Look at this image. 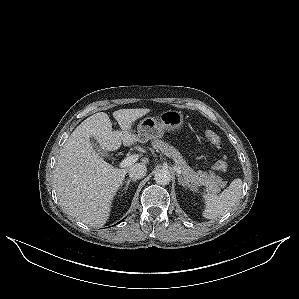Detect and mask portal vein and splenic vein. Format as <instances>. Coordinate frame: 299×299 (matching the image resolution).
<instances>
[{"mask_svg": "<svg viewBox=\"0 0 299 299\" xmlns=\"http://www.w3.org/2000/svg\"><path fill=\"white\" fill-rule=\"evenodd\" d=\"M137 159H138L137 155H131V156L125 158L124 160H122L120 162L119 166L121 168H126L128 166H131L133 163H135L137 161ZM175 170L178 174H181V169L179 167H177Z\"/></svg>", "mask_w": 299, "mask_h": 299, "instance_id": "portal-vein-and-splenic-vein-1", "label": "portal vein and splenic vein"}]
</instances>
